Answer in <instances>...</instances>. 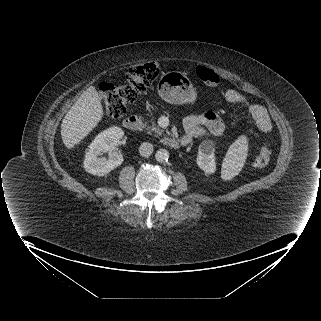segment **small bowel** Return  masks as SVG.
<instances>
[{
	"instance_id": "1",
	"label": "small bowel",
	"mask_w": 321,
	"mask_h": 321,
	"mask_svg": "<svg viewBox=\"0 0 321 321\" xmlns=\"http://www.w3.org/2000/svg\"><path fill=\"white\" fill-rule=\"evenodd\" d=\"M224 97L230 103L241 105L259 131L268 132L271 129L272 123L267 110L263 106L250 102L244 93L230 88L225 91ZM183 124L186 144H190L193 139L220 137L224 132V124L214 112H207L201 117L188 116L184 119Z\"/></svg>"
}]
</instances>
